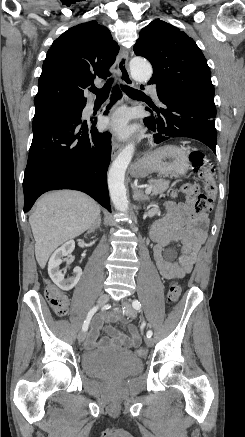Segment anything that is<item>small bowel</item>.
<instances>
[{
    "instance_id": "small-bowel-1",
    "label": "small bowel",
    "mask_w": 245,
    "mask_h": 437,
    "mask_svg": "<svg viewBox=\"0 0 245 437\" xmlns=\"http://www.w3.org/2000/svg\"><path fill=\"white\" fill-rule=\"evenodd\" d=\"M208 226V215L197 211L192 201L167 204L164 218L151 230V237L156 243L153 248V258L158 272L164 279L184 278L192 271L201 246L206 240ZM178 241L184 245V252L180 258L176 261L163 258V250ZM104 321V317H97L94 320L87 348H93L98 343V330ZM108 331L113 342L122 347L132 348L140 343V336L134 327L129 328V336L113 327L108 328ZM100 342L106 344L109 339L104 338Z\"/></svg>"
}]
</instances>
